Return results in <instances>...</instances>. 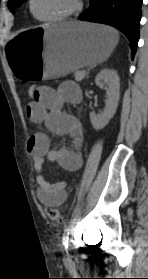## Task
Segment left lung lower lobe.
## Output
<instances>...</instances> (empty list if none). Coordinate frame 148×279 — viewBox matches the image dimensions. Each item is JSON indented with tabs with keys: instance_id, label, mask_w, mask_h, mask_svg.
I'll return each instance as SVG.
<instances>
[{
	"instance_id": "obj_1",
	"label": "left lung lower lobe",
	"mask_w": 148,
	"mask_h": 279,
	"mask_svg": "<svg viewBox=\"0 0 148 279\" xmlns=\"http://www.w3.org/2000/svg\"><path fill=\"white\" fill-rule=\"evenodd\" d=\"M142 0H90L80 20L111 25L123 32L131 43L134 57L139 40Z\"/></svg>"
}]
</instances>
